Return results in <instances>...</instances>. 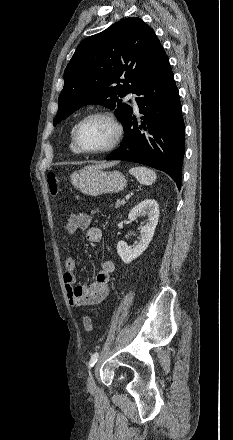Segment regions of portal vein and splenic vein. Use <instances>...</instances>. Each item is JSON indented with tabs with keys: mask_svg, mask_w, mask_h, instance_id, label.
<instances>
[{
	"mask_svg": "<svg viewBox=\"0 0 233 440\" xmlns=\"http://www.w3.org/2000/svg\"><path fill=\"white\" fill-rule=\"evenodd\" d=\"M125 199L126 200L130 199V195H126Z\"/></svg>",
	"mask_w": 233,
	"mask_h": 440,
	"instance_id": "18ae733b",
	"label": "portal vein and splenic vein"
}]
</instances>
